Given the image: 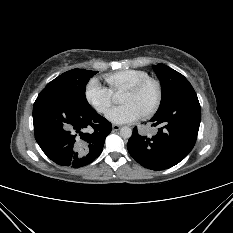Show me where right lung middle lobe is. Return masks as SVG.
Returning <instances> with one entry per match:
<instances>
[{"mask_svg": "<svg viewBox=\"0 0 233 233\" xmlns=\"http://www.w3.org/2000/svg\"><path fill=\"white\" fill-rule=\"evenodd\" d=\"M97 72L73 69L48 83L45 88L57 90L82 105L90 106L85 97V87Z\"/></svg>", "mask_w": 233, "mask_h": 233, "instance_id": "right-lung-middle-lobe-1", "label": "right lung middle lobe"}]
</instances>
